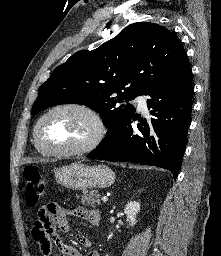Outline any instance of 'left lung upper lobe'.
<instances>
[{
  "mask_svg": "<svg viewBox=\"0 0 221 256\" xmlns=\"http://www.w3.org/2000/svg\"><path fill=\"white\" fill-rule=\"evenodd\" d=\"M186 64L173 32L155 23H133L97 49L78 51L55 68L40 87L32 114L57 104H84L100 114L110 132L134 115L128 101L146 95Z\"/></svg>",
  "mask_w": 221,
  "mask_h": 256,
  "instance_id": "5c2ea615",
  "label": "left lung upper lobe"
}]
</instances>
